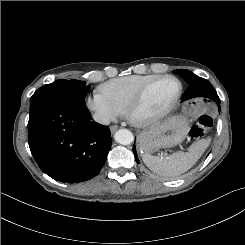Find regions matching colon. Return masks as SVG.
Listing matches in <instances>:
<instances>
[{"label": "colon", "mask_w": 245, "mask_h": 245, "mask_svg": "<svg viewBox=\"0 0 245 245\" xmlns=\"http://www.w3.org/2000/svg\"><path fill=\"white\" fill-rule=\"evenodd\" d=\"M212 126L213 120L208 114L199 115L196 124L189 131V136L192 139H200L207 134Z\"/></svg>", "instance_id": "obj_1"}]
</instances>
